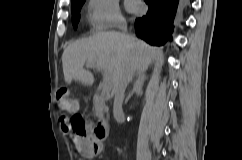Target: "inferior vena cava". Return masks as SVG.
<instances>
[{
  "label": "inferior vena cava",
  "mask_w": 242,
  "mask_h": 160,
  "mask_svg": "<svg viewBox=\"0 0 242 160\" xmlns=\"http://www.w3.org/2000/svg\"><path fill=\"white\" fill-rule=\"evenodd\" d=\"M118 27L124 33L127 32L126 25L120 24ZM125 71L126 73L119 78L114 88L113 116L117 122H120L124 116L122 105L126 87L131 79V75L127 73H139V68H126Z\"/></svg>",
  "instance_id": "602c4592"
}]
</instances>
